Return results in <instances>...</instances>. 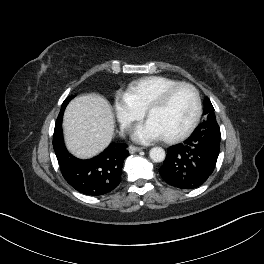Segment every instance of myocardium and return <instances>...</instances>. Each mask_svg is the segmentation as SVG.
<instances>
[{
  "label": "myocardium",
  "instance_id": "myocardium-1",
  "mask_svg": "<svg viewBox=\"0 0 264 264\" xmlns=\"http://www.w3.org/2000/svg\"><path fill=\"white\" fill-rule=\"evenodd\" d=\"M184 87L189 88L194 95L195 105H196L195 114L193 116L191 123L181 133L176 134L174 136L163 137V140L167 143L180 142V141L186 139L189 135H191L192 132L196 129V127L200 121L201 115H202V101H201V97H200V93H199L198 89L194 85L187 83V82L176 83V84L166 88L145 110V115L147 118H149L150 114L154 110L159 109V108L163 107L164 105H166L167 102L169 101V99L171 98V96L178 89L184 88Z\"/></svg>",
  "mask_w": 264,
  "mask_h": 264
}]
</instances>
